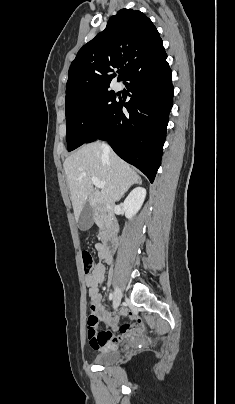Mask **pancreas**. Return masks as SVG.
<instances>
[{
	"label": "pancreas",
	"mask_w": 235,
	"mask_h": 404,
	"mask_svg": "<svg viewBox=\"0 0 235 404\" xmlns=\"http://www.w3.org/2000/svg\"><path fill=\"white\" fill-rule=\"evenodd\" d=\"M98 223H99V218H98ZM99 226H101V224L99 223Z\"/></svg>",
	"instance_id": "1"
}]
</instances>
